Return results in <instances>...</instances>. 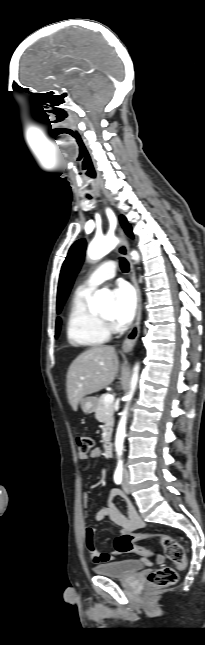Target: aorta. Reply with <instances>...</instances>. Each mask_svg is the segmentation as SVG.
<instances>
[{
	"mask_svg": "<svg viewBox=\"0 0 205 645\" xmlns=\"http://www.w3.org/2000/svg\"><path fill=\"white\" fill-rule=\"evenodd\" d=\"M117 243H118V239L114 236H107L101 239H95L90 243L88 247V251H87L88 256L92 260L101 259L110 251H112L116 247ZM131 255L134 260L139 259V255L136 251H133ZM112 306H113V303L110 300L108 291L106 290L96 291L95 301H94L95 309H97L98 311H102ZM138 369H139L138 366L134 368V374L131 380V390H130V393L126 396L127 401L131 400L134 390L136 388V384L138 380ZM121 415L122 417L117 428L116 439H115V449H116L118 458L121 457L123 452L127 408L121 413ZM119 461L121 462V460Z\"/></svg>",
	"mask_w": 205,
	"mask_h": 645,
	"instance_id": "762f6f07",
	"label": "aorta"
}]
</instances>
